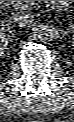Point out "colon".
<instances>
[{
  "label": "colon",
  "mask_w": 74,
  "mask_h": 122,
  "mask_svg": "<svg viewBox=\"0 0 74 122\" xmlns=\"http://www.w3.org/2000/svg\"><path fill=\"white\" fill-rule=\"evenodd\" d=\"M59 2L65 5L67 1H59Z\"/></svg>",
  "instance_id": "colon-1"
}]
</instances>
